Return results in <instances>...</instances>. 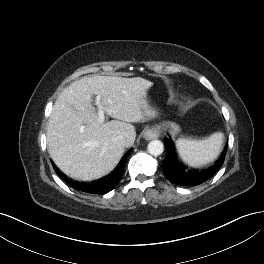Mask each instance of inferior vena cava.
<instances>
[{"label":"inferior vena cava","instance_id":"1","mask_svg":"<svg viewBox=\"0 0 264 264\" xmlns=\"http://www.w3.org/2000/svg\"><path fill=\"white\" fill-rule=\"evenodd\" d=\"M114 141L118 142L119 144L123 145V146H126L127 144V140L125 137L123 136H118L114 139Z\"/></svg>","mask_w":264,"mask_h":264}]
</instances>
